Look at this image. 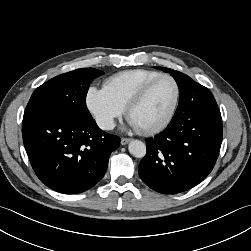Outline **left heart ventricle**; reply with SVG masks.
Here are the masks:
<instances>
[{
  "label": "left heart ventricle",
  "mask_w": 251,
  "mask_h": 251,
  "mask_svg": "<svg viewBox=\"0 0 251 251\" xmlns=\"http://www.w3.org/2000/svg\"><path fill=\"white\" fill-rule=\"evenodd\" d=\"M175 96V87L170 79L155 83L143 101L130 113L129 120L139 129L160 123L169 113Z\"/></svg>",
  "instance_id": "1"
}]
</instances>
